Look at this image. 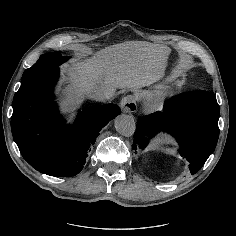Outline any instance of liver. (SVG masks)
Listing matches in <instances>:
<instances>
[{
	"label": "liver",
	"mask_w": 236,
	"mask_h": 236,
	"mask_svg": "<svg viewBox=\"0 0 236 236\" xmlns=\"http://www.w3.org/2000/svg\"><path fill=\"white\" fill-rule=\"evenodd\" d=\"M166 50L159 44L125 42L99 51L84 63L75 61L72 68L67 67V74L77 87V95H89L97 85L136 91L164 75L155 60H160Z\"/></svg>",
	"instance_id": "1"
}]
</instances>
